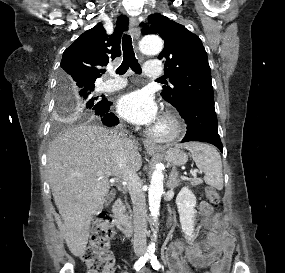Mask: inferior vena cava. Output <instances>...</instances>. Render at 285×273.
Returning a JSON list of instances; mask_svg holds the SVG:
<instances>
[{
  "label": "inferior vena cava",
  "instance_id": "inferior-vena-cava-1",
  "mask_svg": "<svg viewBox=\"0 0 285 273\" xmlns=\"http://www.w3.org/2000/svg\"><path fill=\"white\" fill-rule=\"evenodd\" d=\"M113 133V132H112ZM113 155L118 167L123 170V179L128 182L134 211V252L144 254L147 250V209L144 193L141 190V180L137 173L130 168L123 147V139L113 133Z\"/></svg>",
  "mask_w": 285,
  "mask_h": 273
}]
</instances>
